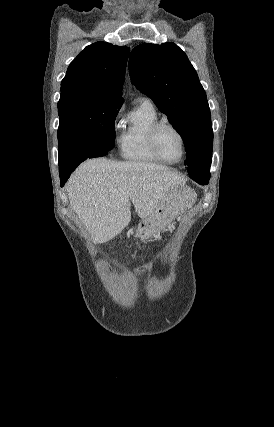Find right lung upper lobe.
Instances as JSON below:
<instances>
[{
	"instance_id": "1",
	"label": "right lung upper lobe",
	"mask_w": 274,
	"mask_h": 427,
	"mask_svg": "<svg viewBox=\"0 0 274 427\" xmlns=\"http://www.w3.org/2000/svg\"><path fill=\"white\" fill-rule=\"evenodd\" d=\"M129 47L96 42L87 46L69 65L61 82L58 107L91 101H123L122 86Z\"/></svg>"
}]
</instances>
